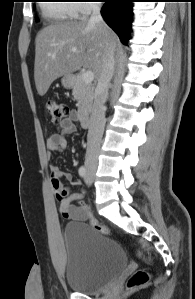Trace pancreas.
<instances>
[{
    "label": "pancreas",
    "instance_id": "pancreas-1",
    "mask_svg": "<svg viewBox=\"0 0 195 299\" xmlns=\"http://www.w3.org/2000/svg\"><path fill=\"white\" fill-rule=\"evenodd\" d=\"M72 95L77 100L78 114L80 117L87 116L91 111L94 98V85L85 83L82 75H77L73 86Z\"/></svg>",
    "mask_w": 195,
    "mask_h": 299
}]
</instances>
